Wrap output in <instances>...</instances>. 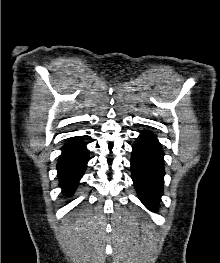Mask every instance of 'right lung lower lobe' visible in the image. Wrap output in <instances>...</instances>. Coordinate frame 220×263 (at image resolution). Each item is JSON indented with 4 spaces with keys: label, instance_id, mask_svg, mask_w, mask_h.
Instances as JSON below:
<instances>
[{
    "label": "right lung lower lobe",
    "instance_id": "1",
    "mask_svg": "<svg viewBox=\"0 0 220 263\" xmlns=\"http://www.w3.org/2000/svg\"><path fill=\"white\" fill-rule=\"evenodd\" d=\"M62 150L57 164L59 186L63 189V193L70 195L78 186L87 166L88 151L80 137H75L66 143Z\"/></svg>",
    "mask_w": 220,
    "mask_h": 263
}]
</instances>
